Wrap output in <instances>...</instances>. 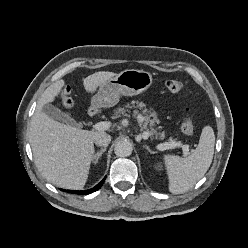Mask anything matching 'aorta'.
Listing matches in <instances>:
<instances>
[{"instance_id":"aorta-1","label":"aorta","mask_w":248,"mask_h":248,"mask_svg":"<svg viewBox=\"0 0 248 248\" xmlns=\"http://www.w3.org/2000/svg\"><path fill=\"white\" fill-rule=\"evenodd\" d=\"M114 152L118 157H127L132 153V144L128 141H119L115 145Z\"/></svg>"}]
</instances>
